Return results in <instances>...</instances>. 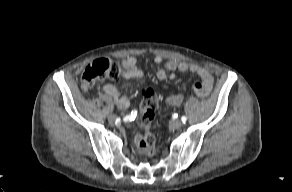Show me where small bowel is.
<instances>
[{"mask_svg": "<svg viewBox=\"0 0 292 192\" xmlns=\"http://www.w3.org/2000/svg\"><path fill=\"white\" fill-rule=\"evenodd\" d=\"M154 62L157 65H161L163 62V59L160 56H156L154 58ZM121 66L125 70L126 77L136 78L139 80L143 79L144 73L139 68L138 61L135 57H126L125 59L121 61ZM176 71H180V72L189 71V72L197 74L200 77L201 82L195 83L193 85V90L199 97L204 98L210 92L212 88L213 77L206 68L198 66L196 64H189L186 62H178L175 60H169L165 62L161 68H159V70L157 71V78L159 80L174 78ZM102 90L104 93L108 94L114 99L117 106L121 110H125L129 107L130 101L128 99L126 92H120L112 84H105L102 87ZM182 101H183V95L180 93L171 95L166 99V103L174 105V106H179L182 103ZM159 121L160 123H158L157 125L158 130L160 131L165 130L166 128L165 123H167L168 121L167 116L165 115L160 116Z\"/></svg>", "mask_w": 292, "mask_h": 192, "instance_id": "small-bowel-1", "label": "small bowel"}]
</instances>
